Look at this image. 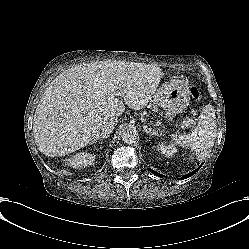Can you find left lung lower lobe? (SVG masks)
<instances>
[{
	"instance_id": "0a47b994",
	"label": "left lung lower lobe",
	"mask_w": 249,
	"mask_h": 249,
	"mask_svg": "<svg viewBox=\"0 0 249 249\" xmlns=\"http://www.w3.org/2000/svg\"><path fill=\"white\" fill-rule=\"evenodd\" d=\"M200 167H201V166H200ZM200 167H199V168H200ZM199 168H198L197 170H195V171H193V172H191V173L185 175L184 178H187V177H189V176H192L194 173H196V171L199 170ZM153 173H154L156 176L162 177L161 174H159V173H157V172H155V171H153Z\"/></svg>"
}]
</instances>
